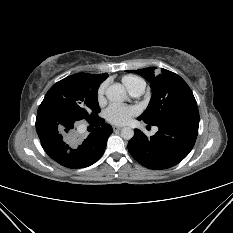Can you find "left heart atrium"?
Here are the masks:
<instances>
[{"label":"left heart atrium","instance_id":"39dd6f15","mask_svg":"<svg viewBox=\"0 0 233 233\" xmlns=\"http://www.w3.org/2000/svg\"><path fill=\"white\" fill-rule=\"evenodd\" d=\"M137 114V109L130 106L111 104L104 111V118L114 125H125Z\"/></svg>","mask_w":233,"mask_h":233}]
</instances>
